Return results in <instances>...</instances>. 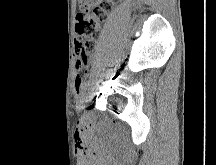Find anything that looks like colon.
Wrapping results in <instances>:
<instances>
[{
    "label": "colon",
    "instance_id": "obj_1",
    "mask_svg": "<svg viewBox=\"0 0 216 165\" xmlns=\"http://www.w3.org/2000/svg\"><path fill=\"white\" fill-rule=\"evenodd\" d=\"M76 16V57L77 63L86 65L92 58V51L98 33L107 19L112 0H79Z\"/></svg>",
    "mask_w": 216,
    "mask_h": 165
}]
</instances>
